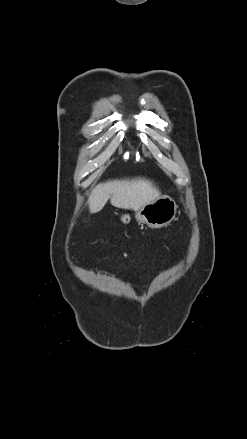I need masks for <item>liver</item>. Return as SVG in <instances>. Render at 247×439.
Masks as SVG:
<instances>
[{
	"mask_svg": "<svg viewBox=\"0 0 247 439\" xmlns=\"http://www.w3.org/2000/svg\"><path fill=\"white\" fill-rule=\"evenodd\" d=\"M160 194L152 181L145 178L109 180L92 190L88 199L89 210L90 213L99 212L110 199L115 207L137 211Z\"/></svg>",
	"mask_w": 247,
	"mask_h": 439,
	"instance_id": "liver-1",
	"label": "liver"
}]
</instances>
